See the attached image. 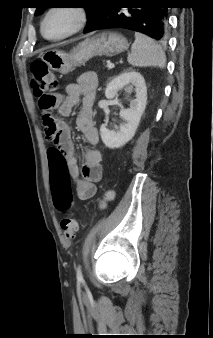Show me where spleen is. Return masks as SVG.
I'll use <instances>...</instances> for the list:
<instances>
[{
	"instance_id": "3e777b00",
	"label": "spleen",
	"mask_w": 213,
	"mask_h": 338,
	"mask_svg": "<svg viewBox=\"0 0 213 338\" xmlns=\"http://www.w3.org/2000/svg\"><path fill=\"white\" fill-rule=\"evenodd\" d=\"M128 62L134 67H159L163 69L166 56L161 46L150 37L135 33V41L128 55Z\"/></svg>"
}]
</instances>
